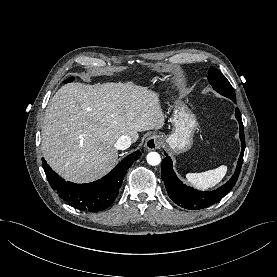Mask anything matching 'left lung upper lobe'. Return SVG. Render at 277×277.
<instances>
[{"label":"left lung upper lobe","instance_id":"5c2ea615","mask_svg":"<svg viewBox=\"0 0 277 277\" xmlns=\"http://www.w3.org/2000/svg\"><path fill=\"white\" fill-rule=\"evenodd\" d=\"M208 80L214 90L235 102L236 96L233 87L226 77L217 69L211 67L208 71Z\"/></svg>","mask_w":277,"mask_h":277}]
</instances>
